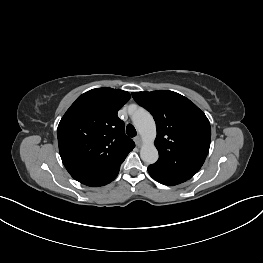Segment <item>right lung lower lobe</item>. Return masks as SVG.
Returning a JSON list of instances; mask_svg holds the SVG:
<instances>
[{
	"label": "right lung lower lobe",
	"instance_id": "right-lung-lower-lobe-1",
	"mask_svg": "<svg viewBox=\"0 0 263 263\" xmlns=\"http://www.w3.org/2000/svg\"><path fill=\"white\" fill-rule=\"evenodd\" d=\"M119 169H117L112 174H110L109 176H107V177H105L103 179L96 180V181H91V182L85 183V185L92 186V187H98V186L106 185V184L110 183L111 181H113L116 178V176L119 173Z\"/></svg>",
	"mask_w": 263,
	"mask_h": 263
}]
</instances>
